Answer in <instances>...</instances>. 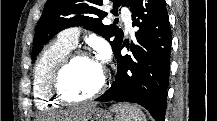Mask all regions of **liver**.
Listing matches in <instances>:
<instances>
[{
	"label": "liver",
	"mask_w": 217,
	"mask_h": 121,
	"mask_svg": "<svg viewBox=\"0 0 217 121\" xmlns=\"http://www.w3.org/2000/svg\"><path fill=\"white\" fill-rule=\"evenodd\" d=\"M93 108L89 107V108H84L79 112V120L84 119V117L92 110ZM71 116H68V113H65L64 116H59L57 119H59V121H63L65 120H69Z\"/></svg>",
	"instance_id": "obj_1"
}]
</instances>
